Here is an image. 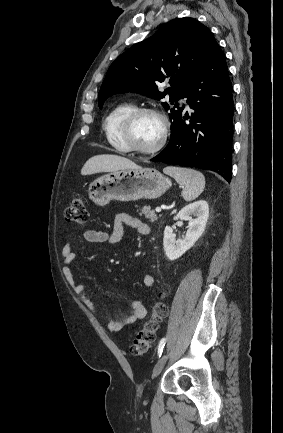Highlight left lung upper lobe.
Wrapping results in <instances>:
<instances>
[{"label":"left lung upper lobe","mask_w":283,"mask_h":433,"mask_svg":"<svg viewBox=\"0 0 283 433\" xmlns=\"http://www.w3.org/2000/svg\"><path fill=\"white\" fill-rule=\"evenodd\" d=\"M215 44L209 29L194 18L166 23L111 64L99 91V108L116 93L136 92L157 100L169 94L173 105L169 118L177 120L184 108H178L177 102L186 97L190 81ZM162 83H169L171 87L159 92L158 86ZM162 105L170 109L168 103Z\"/></svg>","instance_id":"obj_1"}]
</instances>
